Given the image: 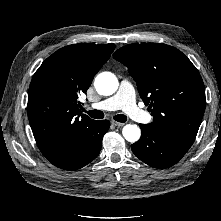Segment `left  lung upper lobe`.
<instances>
[{"label":"left lung upper lobe","instance_id":"left-lung-upper-lobe-1","mask_svg":"<svg viewBox=\"0 0 221 221\" xmlns=\"http://www.w3.org/2000/svg\"><path fill=\"white\" fill-rule=\"evenodd\" d=\"M113 57L128 67L154 125L195 137L205 105L202 78L186 55L158 43L129 44Z\"/></svg>","mask_w":221,"mask_h":221}]
</instances>
